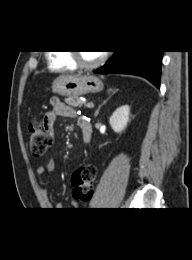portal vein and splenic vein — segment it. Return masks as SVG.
Here are the masks:
<instances>
[{
	"label": "portal vein and splenic vein",
	"instance_id": "obj_1",
	"mask_svg": "<svg viewBox=\"0 0 192 260\" xmlns=\"http://www.w3.org/2000/svg\"><path fill=\"white\" fill-rule=\"evenodd\" d=\"M85 106H86L87 108H93V107H94V104H93L92 102H90V103H86Z\"/></svg>",
	"mask_w": 192,
	"mask_h": 260
}]
</instances>
